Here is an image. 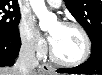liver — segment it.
Masks as SVG:
<instances>
[{
    "instance_id": "6515ba94",
    "label": "liver",
    "mask_w": 102,
    "mask_h": 75,
    "mask_svg": "<svg viewBox=\"0 0 102 75\" xmlns=\"http://www.w3.org/2000/svg\"><path fill=\"white\" fill-rule=\"evenodd\" d=\"M0 75H21L18 69L14 66L11 68H1L0 69ZM32 75H37L36 72Z\"/></svg>"
}]
</instances>
